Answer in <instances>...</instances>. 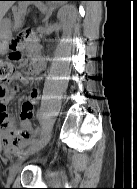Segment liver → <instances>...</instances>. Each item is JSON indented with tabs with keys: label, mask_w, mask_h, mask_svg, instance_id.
<instances>
[{
	"label": "liver",
	"mask_w": 137,
	"mask_h": 189,
	"mask_svg": "<svg viewBox=\"0 0 137 189\" xmlns=\"http://www.w3.org/2000/svg\"><path fill=\"white\" fill-rule=\"evenodd\" d=\"M12 5L13 1H0V21Z\"/></svg>",
	"instance_id": "obj_1"
}]
</instances>
